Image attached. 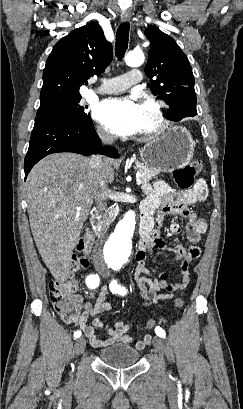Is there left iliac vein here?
<instances>
[{
  "instance_id": "left-iliac-vein-1",
  "label": "left iliac vein",
  "mask_w": 243,
  "mask_h": 409,
  "mask_svg": "<svg viewBox=\"0 0 243 409\" xmlns=\"http://www.w3.org/2000/svg\"><path fill=\"white\" fill-rule=\"evenodd\" d=\"M152 343H153V346H154L155 350H156L160 355H163V354H164V351H165V344H164L163 339H162L161 337H159V336H155V337L153 338Z\"/></svg>"
}]
</instances>
